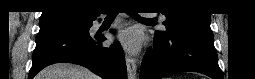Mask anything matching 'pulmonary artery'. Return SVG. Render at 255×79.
Here are the masks:
<instances>
[{
	"mask_svg": "<svg viewBox=\"0 0 255 79\" xmlns=\"http://www.w3.org/2000/svg\"><path fill=\"white\" fill-rule=\"evenodd\" d=\"M161 20H164V16L161 17Z\"/></svg>",
	"mask_w": 255,
	"mask_h": 79,
	"instance_id": "pulmonary-artery-1",
	"label": "pulmonary artery"
}]
</instances>
